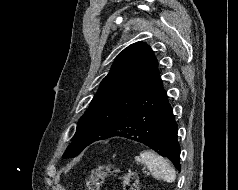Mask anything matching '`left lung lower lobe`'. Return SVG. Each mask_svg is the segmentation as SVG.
I'll list each match as a JSON object with an SVG mask.
<instances>
[{"mask_svg": "<svg viewBox=\"0 0 238 190\" xmlns=\"http://www.w3.org/2000/svg\"><path fill=\"white\" fill-rule=\"evenodd\" d=\"M168 96L160 77L120 116L104 138L122 136L149 146L169 158L180 171V146Z\"/></svg>", "mask_w": 238, "mask_h": 190, "instance_id": "left-lung-lower-lobe-1", "label": "left lung lower lobe"}]
</instances>
